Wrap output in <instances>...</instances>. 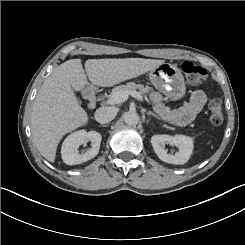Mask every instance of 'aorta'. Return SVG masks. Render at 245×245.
Here are the masks:
<instances>
[{
	"label": "aorta",
	"mask_w": 245,
	"mask_h": 245,
	"mask_svg": "<svg viewBox=\"0 0 245 245\" xmlns=\"http://www.w3.org/2000/svg\"><path fill=\"white\" fill-rule=\"evenodd\" d=\"M124 121L127 125L133 126V125H137L139 122V116L136 112H126L123 116Z\"/></svg>",
	"instance_id": "762f6f07"
}]
</instances>
